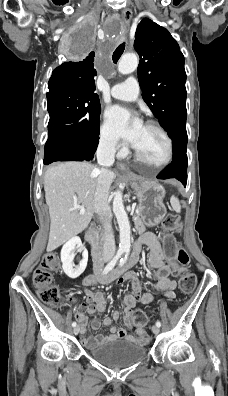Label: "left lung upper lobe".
Listing matches in <instances>:
<instances>
[{
	"instance_id": "obj_1",
	"label": "left lung upper lobe",
	"mask_w": 228,
	"mask_h": 396,
	"mask_svg": "<svg viewBox=\"0 0 228 396\" xmlns=\"http://www.w3.org/2000/svg\"><path fill=\"white\" fill-rule=\"evenodd\" d=\"M142 98L167 131L187 116L184 56L167 29L144 18L135 33Z\"/></svg>"
}]
</instances>
